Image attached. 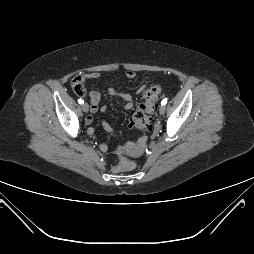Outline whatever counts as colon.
<instances>
[{"mask_svg":"<svg viewBox=\"0 0 254 254\" xmlns=\"http://www.w3.org/2000/svg\"><path fill=\"white\" fill-rule=\"evenodd\" d=\"M72 89L77 95H84L86 92L84 80L76 77L72 80ZM163 95L162 88L154 85L144 93L143 101L136 105L132 111L131 126L136 130L145 133L151 127L153 118L156 116L157 102ZM118 164L114 171H131L135 168V163L124 156L121 150L117 151Z\"/></svg>","mask_w":254,"mask_h":254,"instance_id":"obj_1","label":"colon"}]
</instances>
